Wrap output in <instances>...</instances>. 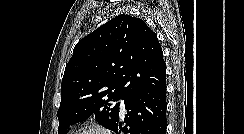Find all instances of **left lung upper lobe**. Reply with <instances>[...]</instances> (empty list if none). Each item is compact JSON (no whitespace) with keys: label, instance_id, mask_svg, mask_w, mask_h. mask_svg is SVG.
I'll return each mask as SVG.
<instances>
[{"label":"left lung upper lobe","instance_id":"5c2ea615","mask_svg":"<svg viewBox=\"0 0 244 134\" xmlns=\"http://www.w3.org/2000/svg\"><path fill=\"white\" fill-rule=\"evenodd\" d=\"M165 84L156 34L143 20L118 15L76 44L61 83L58 134L93 114L110 129L119 114L114 102Z\"/></svg>","mask_w":244,"mask_h":134}]
</instances>
